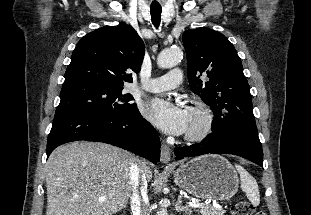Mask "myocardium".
<instances>
[{
    "label": "myocardium",
    "mask_w": 311,
    "mask_h": 215,
    "mask_svg": "<svg viewBox=\"0 0 311 215\" xmlns=\"http://www.w3.org/2000/svg\"><path fill=\"white\" fill-rule=\"evenodd\" d=\"M188 110L199 118V126L195 129L187 130L185 140L188 142H200L211 133L214 125V115L203 103L192 104Z\"/></svg>",
    "instance_id": "myocardium-1"
}]
</instances>
